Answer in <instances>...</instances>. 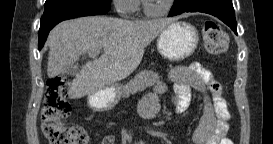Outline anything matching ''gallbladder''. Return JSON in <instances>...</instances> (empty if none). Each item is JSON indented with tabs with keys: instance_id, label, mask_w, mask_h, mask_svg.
Masks as SVG:
<instances>
[{
	"instance_id": "gallbladder-1",
	"label": "gallbladder",
	"mask_w": 273,
	"mask_h": 144,
	"mask_svg": "<svg viewBox=\"0 0 273 144\" xmlns=\"http://www.w3.org/2000/svg\"><path fill=\"white\" fill-rule=\"evenodd\" d=\"M70 71L67 73L69 76H79V66L78 65H70Z\"/></svg>"
}]
</instances>
